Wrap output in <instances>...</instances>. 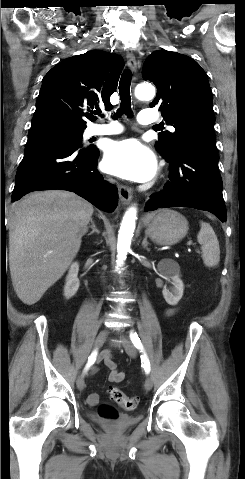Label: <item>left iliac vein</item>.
Masks as SVG:
<instances>
[{
    "instance_id": "4c4485c4",
    "label": "left iliac vein",
    "mask_w": 245,
    "mask_h": 479,
    "mask_svg": "<svg viewBox=\"0 0 245 479\" xmlns=\"http://www.w3.org/2000/svg\"><path fill=\"white\" fill-rule=\"evenodd\" d=\"M121 339H122V342H123V346H124V349L126 351V353L130 356V357H135L136 354H137V350L135 348V346L133 345V343L124 335L121 336ZM152 379L150 377H147L145 379V382H144V388L148 391L152 388Z\"/></svg>"
}]
</instances>
